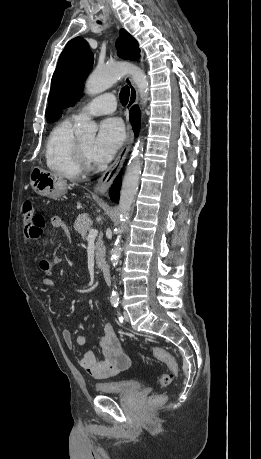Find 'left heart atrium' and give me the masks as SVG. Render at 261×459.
<instances>
[{"instance_id":"1","label":"left heart atrium","mask_w":261,"mask_h":459,"mask_svg":"<svg viewBox=\"0 0 261 459\" xmlns=\"http://www.w3.org/2000/svg\"><path fill=\"white\" fill-rule=\"evenodd\" d=\"M125 139L123 123L117 118L103 120L94 140L91 158L99 163L110 161Z\"/></svg>"}]
</instances>
